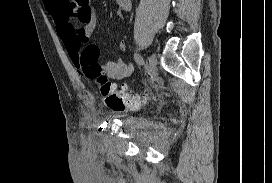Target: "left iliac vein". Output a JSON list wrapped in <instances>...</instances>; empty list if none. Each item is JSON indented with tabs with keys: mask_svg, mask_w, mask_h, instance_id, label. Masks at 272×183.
I'll use <instances>...</instances> for the list:
<instances>
[{
	"mask_svg": "<svg viewBox=\"0 0 272 183\" xmlns=\"http://www.w3.org/2000/svg\"><path fill=\"white\" fill-rule=\"evenodd\" d=\"M157 57L155 54H151L146 61V69L151 74L152 78H155L157 74Z\"/></svg>",
	"mask_w": 272,
	"mask_h": 183,
	"instance_id": "1",
	"label": "left iliac vein"
}]
</instances>
